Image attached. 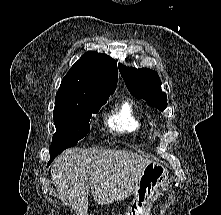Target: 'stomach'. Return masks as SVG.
<instances>
[{
  "mask_svg": "<svg viewBox=\"0 0 221 215\" xmlns=\"http://www.w3.org/2000/svg\"><path fill=\"white\" fill-rule=\"evenodd\" d=\"M169 172L163 165L148 163L135 186V198L125 215H149L150 203L160 195L168 184Z\"/></svg>",
  "mask_w": 221,
  "mask_h": 215,
  "instance_id": "stomach-1",
  "label": "stomach"
}]
</instances>
